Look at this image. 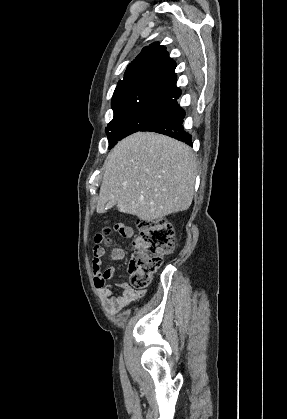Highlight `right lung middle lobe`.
<instances>
[{
    "label": "right lung middle lobe",
    "mask_w": 287,
    "mask_h": 419,
    "mask_svg": "<svg viewBox=\"0 0 287 419\" xmlns=\"http://www.w3.org/2000/svg\"><path fill=\"white\" fill-rule=\"evenodd\" d=\"M167 106H134L114 112L113 120L108 124L106 133L109 149L124 137L140 131L146 124L165 113Z\"/></svg>",
    "instance_id": "1"
}]
</instances>
